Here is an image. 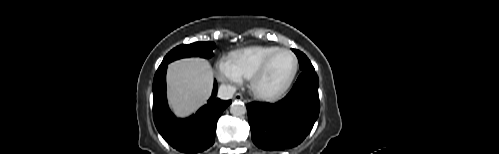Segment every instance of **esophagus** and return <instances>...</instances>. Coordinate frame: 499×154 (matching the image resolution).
<instances>
[{"instance_id": "esophagus-1", "label": "esophagus", "mask_w": 499, "mask_h": 154, "mask_svg": "<svg viewBox=\"0 0 499 154\" xmlns=\"http://www.w3.org/2000/svg\"><path fill=\"white\" fill-rule=\"evenodd\" d=\"M234 100H243V96H242V94H241V93H236V94L234 95Z\"/></svg>"}]
</instances>
